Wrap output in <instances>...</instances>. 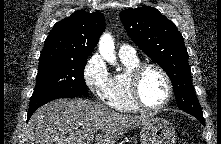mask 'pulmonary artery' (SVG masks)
<instances>
[{"label": "pulmonary artery", "mask_w": 221, "mask_h": 144, "mask_svg": "<svg viewBox=\"0 0 221 144\" xmlns=\"http://www.w3.org/2000/svg\"><path fill=\"white\" fill-rule=\"evenodd\" d=\"M119 55L122 57H127V58H136V51L135 49L130 46V45H121L119 48Z\"/></svg>", "instance_id": "obj_1"}]
</instances>
